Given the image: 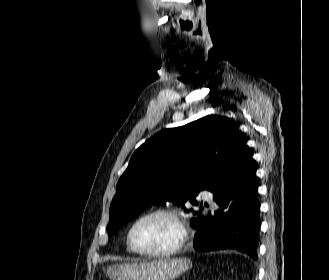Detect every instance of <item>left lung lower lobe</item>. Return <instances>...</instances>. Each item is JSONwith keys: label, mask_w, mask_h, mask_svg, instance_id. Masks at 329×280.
Listing matches in <instances>:
<instances>
[{"label": "left lung lower lobe", "mask_w": 329, "mask_h": 280, "mask_svg": "<svg viewBox=\"0 0 329 280\" xmlns=\"http://www.w3.org/2000/svg\"><path fill=\"white\" fill-rule=\"evenodd\" d=\"M244 145L240 169L232 181L213 197L218 207L200 216L194 248L197 251L234 249L257 259L260 205L256 185V165Z\"/></svg>", "instance_id": "0a47b994"}]
</instances>
